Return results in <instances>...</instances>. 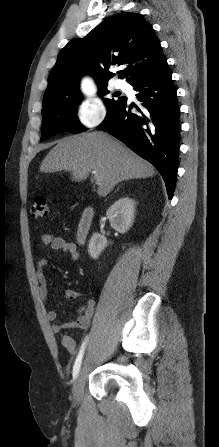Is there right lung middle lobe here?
Wrapping results in <instances>:
<instances>
[{"label": "right lung middle lobe", "instance_id": "right-lung-middle-lobe-1", "mask_svg": "<svg viewBox=\"0 0 219 447\" xmlns=\"http://www.w3.org/2000/svg\"><path fill=\"white\" fill-rule=\"evenodd\" d=\"M98 94L100 97L109 94L107 85L99 87ZM124 98L104 99L108 112L123 101ZM80 100L81 97L78 95H58L43 98L41 140H45L60 132L85 130L75 116Z\"/></svg>", "mask_w": 219, "mask_h": 447}]
</instances>
